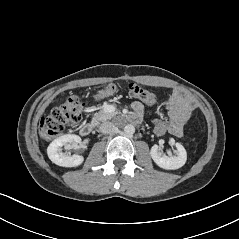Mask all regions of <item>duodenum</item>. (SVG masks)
I'll return each instance as SVG.
<instances>
[{
  "mask_svg": "<svg viewBox=\"0 0 239 239\" xmlns=\"http://www.w3.org/2000/svg\"><path fill=\"white\" fill-rule=\"evenodd\" d=\"M94 127H95V124L93 122H87L80 127V134L82 136H87L91 134Z\"/></svg>",
  "mask_w": 239,
  "mask_h": 239,
  "instance_id": "obj_1",
  "label": "duodenum"
}]
</instances>
